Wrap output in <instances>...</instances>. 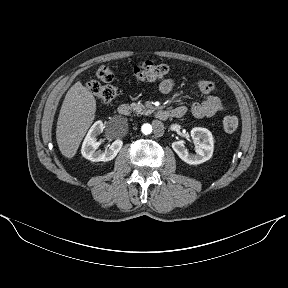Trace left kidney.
<instances>
[{
  "label": "left kidney",
  "instance_id": "obj_1",
  "mask_svg": "<svg viewBox=\"0 0 288 288\" xmlns=\"http://www.w3.org/2000/svg\"><path fill=\"white\" fill-rule=\"evenodd\" d=\"M191 137L198 142L195 148L196 154H190L185 146L184 140L172 143V148L184 162L190 165L201 164L212 157L214 150V140L212 133L201 127H195L191 130Z\"/></svg>",
  "mask_w": 288,
  "mask_h": 288
}]
</instances>
